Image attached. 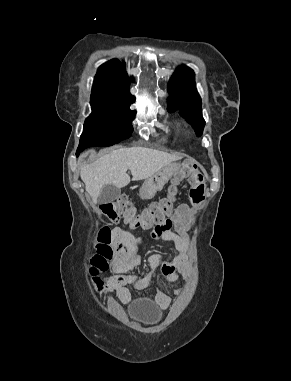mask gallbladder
I'll use <instances>...</instances> for the list:
<instances>
[{
    "mask_svg": "<svg viewBox=\"0 0 291 381\" xmlns=\"http://www.w3.org/2000/svg\"><path fill=\"white\" fill-rule=\"evenodd\" d=\"M120 193V188L111 184L105 185L101 190L98 201L100 204L112 202L120 196Z\"/></svg>",
    "mask_w": 291,
    "mask_h": 381,
    "instance_id": "1",
    "label": "gallbladder"
}]
</instances>
